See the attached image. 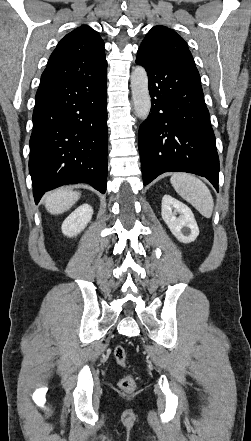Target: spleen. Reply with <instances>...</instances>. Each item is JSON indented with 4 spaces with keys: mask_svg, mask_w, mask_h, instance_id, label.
Wrapping results in <instances>:
<instances>
[{
    "mask_svg": "<svg viewBox=\"0 0 251 441\" xmlns=\"http://www.w3.org/2000/svg\"><path fill=\"white\" fill-rule=\"evenodd\" d=\"M170 182L176 192L192 204L202 216L210 218L214 202L208 187L198 178L187 173H175Z\"/></svg>",
    "mask_w": 251,
    "mask_h": 441,
    "instance_id": "3e777b00",
    "label": "spleen"
}]
</instances>
